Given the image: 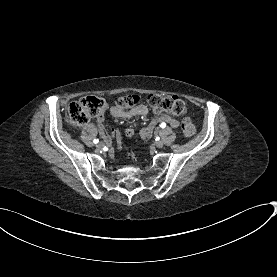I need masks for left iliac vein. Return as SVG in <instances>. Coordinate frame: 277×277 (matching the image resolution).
<instances>
[{"instance_id":"4c4485c4","label":"left iliac vein","mask_w":277,"mask_h":277,"mask_svg":"<svg viewBox=\"0 0 277 277\" xmlns=\"http://www.w3.org/2000/svg\"><path fill=\"white\" fill-rule=\"evenodd\" d=\"M163 145H164V142H163L162 140H159V141H157V142L155 143V146H156L157 148H162Z\"/></svg>"}]
</instances>
